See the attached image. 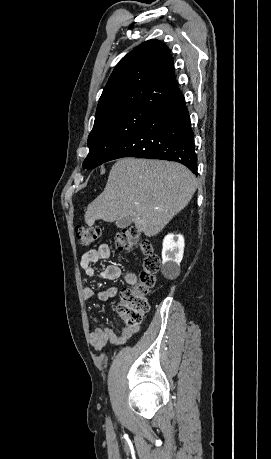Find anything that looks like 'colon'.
Listing matches in <instances>:
<instances>
[{"mask_svg":"<svg viewBox=\"0 0 271 459\" xmlns=\"http://www.w3.org/2000/svg\"><path fill=\"white\" fill-rule=\"evenodd\" d=\"M157 1L148 0L149 3ZM75 234L82 246L89 247L99 238L100 229L95 226H77ZM115 244L121 251L131 252L139 248L144 254L137 283L122 289L121 302L117 307L128 326H137L149 310L148 294L155 284L161 265L160 258L154 253L151 243L141 239L138 229L133 226L119 231L115 236Z\"/></svg>","mask_w":271,"mask_h":459,"instance_id":"obj_1","label":"colon"}]
</instances>
